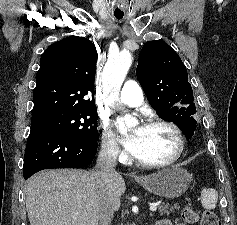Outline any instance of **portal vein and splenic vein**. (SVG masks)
<instances>
[{
    "mask_svg": "<svg viewBox=\"0 0 237 225\" xmlns=\"http://www.w3.org/2000/svg\"><path fill=\"white\" fill-rule=\"evenodd\" d=\"M157 206H158L157 203L152 204V205L150 206V211L155 212V211L157 210Z\"/></svg>",
    "mask_w": 237,
    "mask_h": 225,
    "instance_id": "18ae733b",
    "label": "portal vein and splenic vein"
}]
</instances>
